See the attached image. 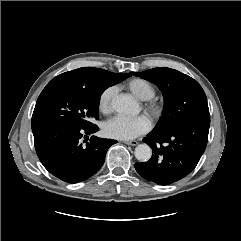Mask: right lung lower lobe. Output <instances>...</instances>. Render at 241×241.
<instances>
[{
    "label": "right lung lower lobe",
    "instance_id": "right-lung-lower-lobe-1",
    "mask_svg": "<svg viewBox=\"0 0 241 241\" xmlns=\"http://www.w3.org/2000/svg\"><path fill=\"white\" fill-rule=\"evenodd\" d=\"M98 127L82 129L69 124H50L32 128L37 155L47 169L58 179L76 183L94 175L103 165L108 148L115 140L88 135Z\"/></svg>",
    "mask_w": 241,
    "mask_h": 241
}]
</instances>
